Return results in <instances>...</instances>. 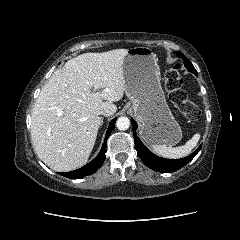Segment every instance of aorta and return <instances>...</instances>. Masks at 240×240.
<instances>
[{
  "label": "aorta",
  "mask_w": 240,
  "mask_h": 240,
  "mask_svg": "<svg viewBox=\"0 0 240 240\" xmlns=\"http://www.w3.org/2000/svg\"><path fill=\"white\" fill-rule=\"evenodd\" d=\"M116 127L119 130H127L130 127V119L128 117H119L116 121Z\"/></svg>",
  "instance_id": "762f6f07"
}]
</instances>
